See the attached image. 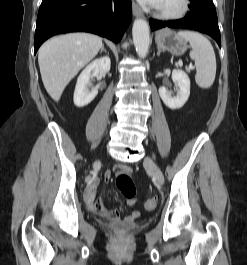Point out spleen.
<instances>
[{"label": "spleen", "mask_w": 247, "mask_h": 265, "mask_svg": "<svg viewBox=\"0 0 247 265\" xmlns=\"http://www.w3.org/2000/svg\"><path fill=\"white\" fill-rule=\"evenodd\" d=\"M178 36L190 43V58L197 70L196 84L203 89L210 88L216 75V57L210 41L194 31H179Z\"/></svg>", "instance_id": "obj_1"}]
</instances>
